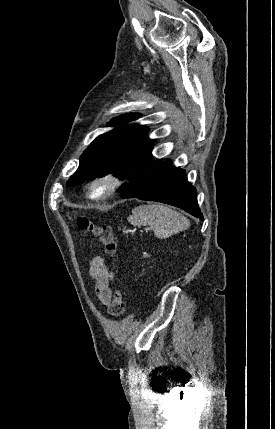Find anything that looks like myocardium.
<instances>
[{
    "label": "myocardium",
    "instance_id": "1",
    "mask_svg": "<svg viewBox=\"0 0 275 429\" xmlns=\"http://www.w3.org/2000/svg\"><path fill=\"white\" fill-rule=\"evenodd\" d=\"M124 185V179L115 172H105L95 176L87 188V197L96 202L107 200L117 194ZM102 187L100 194H95V189Z\"/></svg>",
    "mask_w": 275,
    "mask_h": 429
}]
</instances>
